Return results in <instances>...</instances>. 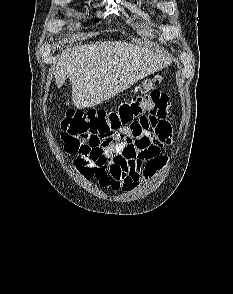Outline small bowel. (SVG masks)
<instances>
[{
    "instance_id": "small-bowel-1",
    "label": "small bowel",
    "mask_w": 233,
    "mask_h": 294,
    "mask_svg": "<svg viewBox=\"0 0 233 294\" xmlns=\"http://www.w3.org/2000/svg\"><path fill=\"white\" fill-rule=\"evenodd\" d=\"M146 115V110H138ZM131 143H118L106 148L103 156L78 157L76 171L86 180H94L101 188L131 191L156 174L168 161L161 149L172 142V130L166 117L148 114L127 123ZM119 156H114V155Z\"/></svg>"
}]
</instances>
